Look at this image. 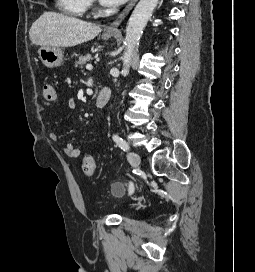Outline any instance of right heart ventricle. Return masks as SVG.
<instances>
[{
  "instance_id": "right-heart-ventricle-1",
  "label": "right heart ventricle",
  "mask_w": 255,
  "mask_h": 272,
  "mask_svg": "<svg viewBox=\"0 0 255 272\" xmlns=\"http://www.w3.org/2000/svg\"><path fill=\"white\" fill-rule=\"evenodd\" d=\"M57 8L70 16L80 17L88 7L87 0H56Z\"/></svg>"
}]
</instances>
